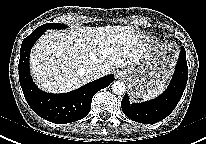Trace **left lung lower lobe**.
Segmentation results:
<instances>
[{
  "label": "left lung lower lobe",
  "mask_w": 206,
  "mask_h": 144,
  "mask_svg": "<svg viewBox=\"0 0 206 144\" xmlns=\"http://www.w3.org/2000/svg\"><path fill=\"white\" fill-rule=\"evenodd\" d=\"M188 79L186 52L181 48L175 72L168 88L156 99L144 103L130 104L128 95L125 94L121 102L124 114L133 121L152 124L163 120L174 110L180 101Z\"/></svg>",
  "instance_id": "left-lung-lower-lobe-1"
}]
</instances>
